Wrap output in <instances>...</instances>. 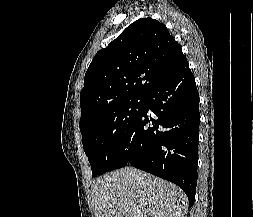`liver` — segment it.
I'll use <instances>...</instances> for the list:
<instances>
[{"mask_svg":"<svg viewBox=\"0 0 253 217\" xmlns=\"http://www.w3.org/2000/svg\"><path fill=\"white\" fill-rule=\"evenodd\" d=\"M187 204L176 185L133 167L93 182L95 217H185Z\"/></svg>","mask_w":253,"mask_h":217,"instance_id":"liver-1","label":"liver"}]
</instances>
